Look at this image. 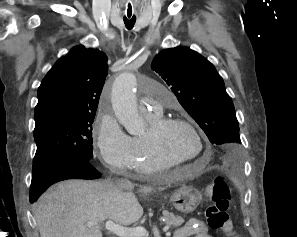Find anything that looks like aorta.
Segmentation results:
<instances>
[{"label":"aorta","mask_w":297,"mask_h":237,"mask_svg":"<svg viewBox=\"0 0 297 237\" xmlns=\"http://www.w3.org/2000/svg\"><path fill=\"white\" fill-rule=\"evenodd\" d=\"M135 85L136 78L133 74L122 73L115 79L111 93L113 111L118 121L131 135L139 134L143 128L133 91Z\"/></svg>","instance_id":"1"}]
</instances>
